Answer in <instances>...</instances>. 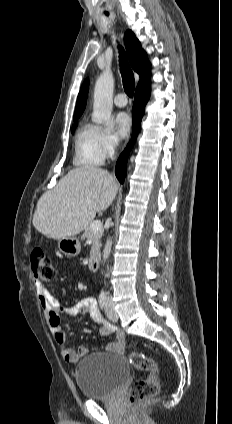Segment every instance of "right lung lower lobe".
I'll use <instances>...</instances> for the list:
<instances>
[{
	"label": "right lung lower lobe",
	"instance_id": "obj_1",
	"mask_svg": "<svg viewBox=\"0 0 232 424\" xmlns=\"http://www.w3.org/2000/svg\"><path fill=\"white\" fill-rule=\"evenodd\" d=\"M149 95H150V82L136 88L133 110H132L133 125H134L133 138L136 137L139 131L141 119L144 115V107L148 101ZM131 147H132V143H130L128 147L124 150V152L120 155L116 163L115 174L121 183L124 182L125 173H126V163H127V159H128V155H129Z\"/></svg>",
	"mask_w": 232,
	"mask_h": 424
}]
</instances>
